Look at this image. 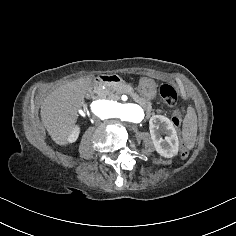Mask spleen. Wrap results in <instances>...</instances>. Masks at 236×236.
<instances>
[{
    "label": "spleen",
    "mask_w": 236,
    "mask_h": 236,
    "mask_svg": "<svg viewBox=\"0 0 236 236\" xmlns=\"http://www.w3.org/2000/svg\"><path fill=\"white\" fill-rule=\"evenodd\" d=\"M182 136L185 146L192 149L195 145L197 136V116L195 110L189 107L183 121Z\"/></svg>",
    "instance_id": "3e777b00"
}]
</instances>
